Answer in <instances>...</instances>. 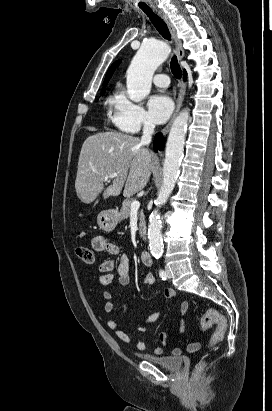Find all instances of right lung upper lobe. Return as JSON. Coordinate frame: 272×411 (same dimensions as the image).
Here are the masks:
<instances>
[{
  "instance_id": "obj_1",
  "label": "right lung upper lobe",
  "mask_w": 272,
  "mask_h": 411,
  "mask_svg": "<svg viewBox=\"0 0 272 411\" xmlns=\"http://www.w3.org/2000/svg\"><path fill=\"white\" fill-rule=\"evenodd\" d=\"M120 63H121V61L118 60V61L114 62V63L112 64V66L109 68V70H108L107 73H106L103 86H106V85H107L109 79H110L111 76H112V73L114 72L115 68H116ZM103 90H104V89H102V91H103Z\"/></svg>"
}]
</instances>
